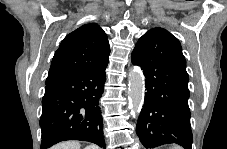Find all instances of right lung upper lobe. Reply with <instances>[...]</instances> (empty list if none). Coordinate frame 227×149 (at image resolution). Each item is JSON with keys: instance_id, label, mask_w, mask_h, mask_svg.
<instances>
[{"instance_id": "cb5924a9", "label": "right lung upper lobe", "mask_w": 227, "mask_h": 149, "mask_svg": "<svg viewBox=\"0 0 227 149\" xmlns=\"http://www.w3.org/2000/svg\"><path fill=\"white\" fill-rule=\"evenodd\" d=\"M110 54L106 33L96 24H85L68 34L51 62L46 86L91 71L108 62Z\"/></svg>"}]
</instances>
